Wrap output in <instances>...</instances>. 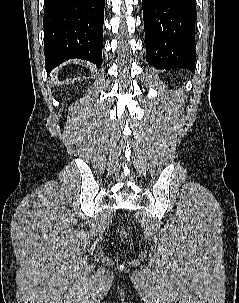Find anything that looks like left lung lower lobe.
<instances>
[{
	"label": "left lung lower lobe",
	"instance_id": "obj_1",
	"mask_svg": "<svg viewBox=\"0 0 239 303\" xmlns=\"http://www.w3.org/2000/svg\"><path fill=\"white\" fill-rule=\"evenodd\" d=\"M146 60L157 68L195 70V0H142Z\"/></svg>",
	"mask_w": 239,
	"mask_h": 303
}]
</instances>
